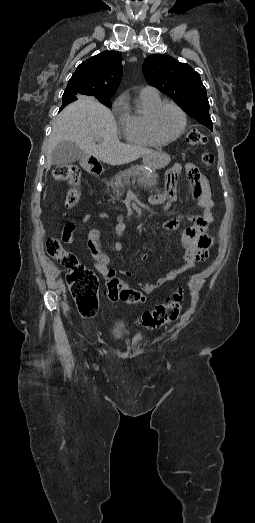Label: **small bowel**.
I'll return each mask as SVG.
<instances>
[{"mask_svg": "<svg viewBox=\"0 0 255 523\" xmlns=\"http://www.w3.org/2000/svg\"><path fill=\"white\" fill-rule=\"evenodd\" d=\"M184 170L190 180L192 187V194L197 200L198 206L201 209L200 215H191L187 217V220L191 222V226L186 227L181 235V241L185 248L183 255V263L178 265L152 283L139 284V288L146 294H151L159 289L164 284L175 280L186 270L192 268L196 262L204 261L209 254V249L212 245V237L208 233L209 225L214 221L213 207L214 203L212 200L211 189L205 176L200 172L198 167L192 163H187L184 166ZM174 197L173 188L170 189L168 200H172ZM165 197L162 195H155L151 198V203L159 205L164 202ZM108 216L106 213H100L99 218L106 219ZM92 220L91 214H86L83 217V222L89 223ZM182 218H173L163 223V229L166 231H174L180 227ZM126 230V223L123 216L118 217V222L114 227V233L117 240L114 242V249L121 251L124 245L120 238ZM99 231L93 229L89 235V249L91 251L94 266L99 274L104 278H111L115 275V270L110 268V258L101 249L99 243ZM62 241L71 244L74 241V224L69 222L65 225L62 232ZM148 254L144 253L141 256L142 260H146ZM120 273L126 277H131L130 271L122 270Z\"/></svg>", "mask_w": 255, "mask_h": 523, "instance_id": "c3829d8e", "label": "small bowel"}]
</instances>
